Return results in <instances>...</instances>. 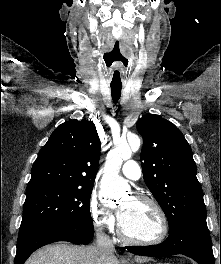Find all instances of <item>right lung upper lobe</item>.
<instances>
[{
	"mask_svg": "<svg viewBox=\"0 0 221 264\" xmlns=\"http://www.w3.org/2000/svg\"><path fill=\"white\" fill-rule=\"evenodd\" d=\"M100 149L93 122L73 120L61 124L41 148L27 190L46 185L93 187Z\"/></svg>",
	"mask_w": 221,
	"mask_h": 264,
	"instance_id": "1",
	"label": "right lung upper lobe"
}]
</instances>
